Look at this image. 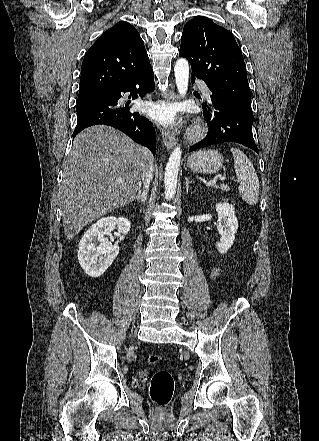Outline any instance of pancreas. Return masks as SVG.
I'll return each instance as SVG.
<instances>
[{
	"instance_id": "pancreas-1",
	"label": "pancreas",
	"mask_w": 319,
	"mask_h": 441,
	"mask_svg": "<svg viewBox=\"0 0 319 441\" xmlns=\"http://www.w3.org/2000/svg\"><path fill=\"white\" fill-rule=\"evenodd\" d=\"M216 189H221V190H223V191H229L230 190V188H229V186L228 185H226V184H221L220 186H214Z\"/></svg>"
}]
</instances>
